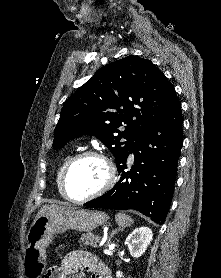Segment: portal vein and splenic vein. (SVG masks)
Here are the masks:
<instances>
[{
  "instance_id": "1",
  "label": "portal vein and splenic vein",
  "mask_w": 221,
  "mask_h": 278,
  "mask_svg": "<svg viewBox=\"0 0 221 278\" xmlns=\"http://www.w3.org/2000/svg\"><path fill=\"white\" fill-rule=\"evenodd\" d=\"M103 245V242L100 243V246Z\"/></svg>"
}]
</instances>
